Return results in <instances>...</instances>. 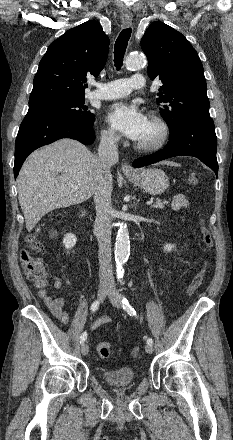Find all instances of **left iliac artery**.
Wrapping results in <instances>:
<instances>
[{"label": "left iliac artery", "mask_w": 233, "mask_h": 440, "mask_svg": "<svg viewBox=\"0 0 233 440\" xmlns=\"http://www.w3.org/2000/svg\"><path fill=\"white\" fill-rule=\"evenodd\" d=\"M122 304H123V309L131 316H136V311L134 310V308L131 307V305L129 304L128 300L124 297L122 300ZM147 344L152 345L153 344V340L151 338L147 339Z\"/></svg>", "instance_id": "44dca946"}]
</instances>
